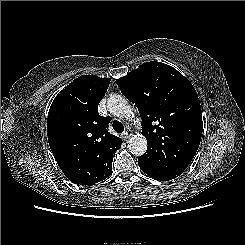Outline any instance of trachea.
<instances>
[{
  "label": "trachea",
  "mask_w": 245,
  "mask_h": 245,
  "mask_svg": "<svg viewBox=\"0 0 245 245\" xmlns=\"http://www.w3.org/2000/svg\"><path fill=\"white\" fill-rule=\"evenodd\" d=\"M113 129L118 132V133H122L124 131V126L122 123H120L119 121H114L113 122Z\"/></svg>",
  "instance_id": "trachea-1"
}]
</instances>
